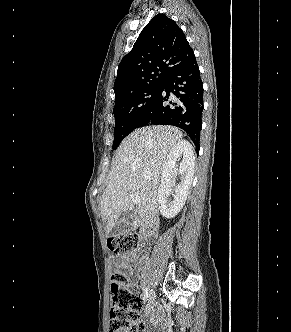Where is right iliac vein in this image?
Returning <instances> with one entry per match:
<instances>
[{
  "label": "right iliac vein",
  "instance_id": "obj_1",
  "mask_svg": "<svg viewBox=\"0 0 291 332\" xmlns=\"http://www.w3.org/2000/svg\"><path fill=\"white\" fill-rule=\"evenodd\" d=\"M155 300H156L155 293H154V291H151L149 294V298H148L146 313H149L151 311V309L154 307Z\"/></svg>",
  "mask_w": 291,
  "mask_h": 332
}]
</instances>
